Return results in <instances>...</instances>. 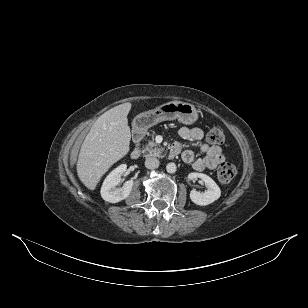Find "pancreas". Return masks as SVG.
I'll return each instance as SVG.
<instances>
[{
	"instance_id": "cf45deb5",
	"label": "pancreas",
	"mask_w": 308,
	"mask_h": 308,
	"mask_svg": "<svg viewBox=\"0 0 308 308\" xmlns=\"http://www.w3.org/2000/svg\"><path fill=\"white\" fill-rule=\"evenodd\" d=\"M163 151L164 149L160 147V145H158L154 140L148 141V143H146L142 148V153L146 157H163Z\"/></svg>"
}]
</instances>
